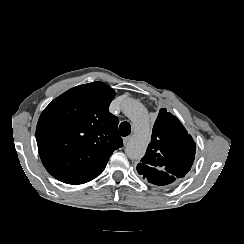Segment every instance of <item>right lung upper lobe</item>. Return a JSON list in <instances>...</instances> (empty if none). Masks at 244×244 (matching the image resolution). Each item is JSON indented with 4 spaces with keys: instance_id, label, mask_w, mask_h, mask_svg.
<instances>
[{
    "instance_id": "1",
    "label": "right lung upper lobe",
    "mask_w": 244,
    "mask_h": 244,
    "mask_svg": "<svg viewBox=\"0 0 244 244\" xmlns=\"http://www.w3.org/2000/svg\"><path fill=\"white\" fill-rule=\"evenodd\" d=\"M116 92L103 82L76 86L42 112L36 140L47 171L78 185L100 175L114 150L123 146L118 119L109 112Z\"/></svg>"
}]
</instances>
